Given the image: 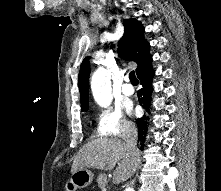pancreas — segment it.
Instances as JSON below:
<instances>
[{
  "label": "pancreas",
  "instance_id": "obj_1",
  "mask_svg": "<svg viewBox=\"0 0 221 191\" xmlns=\"http://www.w3.org/2000/svg\"><path fill=\"white\" fill-rule=\"evenodd\" d=\"M97 184L99 188L103 189L107 184V175L106 174H99L97 178Z\"/></svg>",
  "mask_w": 221,
  "mask_h": 191
}]
</instances>
